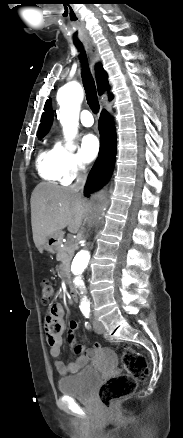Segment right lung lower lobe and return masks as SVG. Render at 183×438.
Segmentation results:
<instances>
[{
    "label": "right lung lower lobe",
    "instance_id": "right-lung-lower-lobe-1",
    "mask_svg": "<svg viewBox=\"0 0 183 438\" xmlns=\"http://www.w3.org/2000/svg\"><path fill=\"white\" fill-rule=\"evenodd\" d=\"M100 150L85 185V196L106 184L113 172L116 157V134L108 112L103 111L99 119Z\"/></svg>",
    "mask_w": 183,
    "mask_h": 438
}]
</instances>
